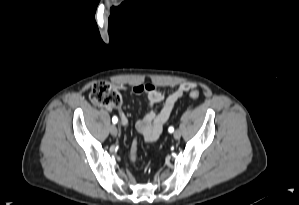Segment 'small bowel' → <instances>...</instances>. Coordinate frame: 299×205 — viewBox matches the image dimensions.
Segmentation results:
<instances>
[{"label": "small bowel", "instance_id": "obj_1", "mask_svg": "<svg viewBox=\"0 0 299 205\" xmlns=\"http://www.w3.org/2000/svg\"><path fill=\"white\" fill-rule=\"evenodd\" d=\"M117 88H122V85H117ZM193 88L194 84L190 82H183L166 93L159 91L151 83L135 85L132 88L135 94L145 93L150 105L149 111L136 124L137 132L145 142H153L159 138L176 102ZM157 104L161 106L159 110L154 108ZM119 118L122 126L128 124V118L122 110H119Z\"/></svg>", "mask_w": 299, "mask_h": 205}]
</instances>
